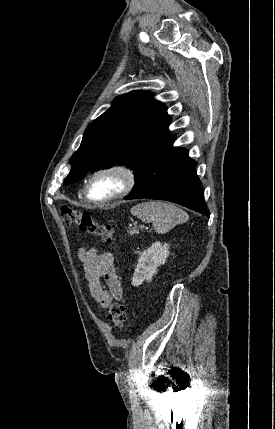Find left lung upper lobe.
I'll return each instance as SVG.
<instances>
[{"label":"left lung upper lobe","instance_id":"left-lung-upper-lobe-1","mask_svg":"<svg viewBox=\"0 0 275 429\" xmlns=\"http://www.w3.org/2000/svg\"><path fill=\"white\" fill-rule=\"evenodd\" d=\"M113 105L86 128L79 149L70 160L64 185L77 182L88 172L124 164L137 180L150 161L175 136L164 104L149 91L118 96Z\"/></svg>","mask_w":275,"mask_h":429}]
</instances>
